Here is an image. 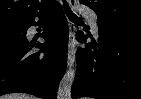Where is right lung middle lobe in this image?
Segmentation results:
<instances>
[{
	"label": "right lung middle lobe",
	"instance_id": "1",
	"mask_svg": "<svg viewBox=\"0 0 141 99\" xmlns=\"http://www.w3.org/2000/svg\"><path fill=\"white\" fill-rule=\"evenodd\" d=\"M12 21H6V22H0V25L1 24H4V23H11Z\"/></svg>",
	"mask_w": 141,
	"mask_h": 99
}]
</instances>
